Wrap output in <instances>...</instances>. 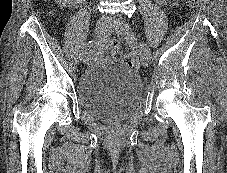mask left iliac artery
Masks as SVG:
<instances>
[{
  "mask_svg": "<svg viewBox=\"0 0 227 173\" xmlns=\"http://www.w3.org/2000/svg\"><path fill=\"white\" fill-rule=\"evenodd\" d=\"M141 48H142L143 51L151 58V50H150V48L147 46V44L142 43V44H141Z\"/></svg>",
  "mask_w": 227,
  "mask_h": 173,
  "instance_id": "44dca946",
  "label": "left iliac artery"
}]
</instances>
